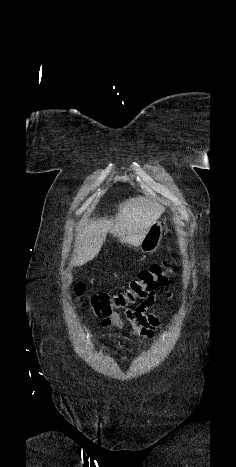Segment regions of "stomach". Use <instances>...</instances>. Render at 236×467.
Wrapping results in <instances>:
<instances>
[{"instance_id":"0dacf381","label":"stomach","mask_w":236,"mask_h":467,"mask_svg":"<svg viewBox=\"0 0 236 467\" xmlns=\"http://www.w3.org/2000/svg\"><path fill=\"white\" fill-rule=\"evenodd\" d=\"M163 227L161 222H155L147 231L140 244V250L143 253L154 252L160 244Z\"/></svg>"}]
</instances>
